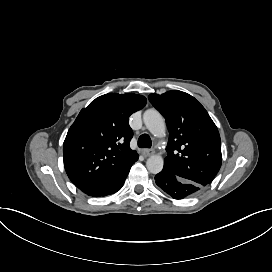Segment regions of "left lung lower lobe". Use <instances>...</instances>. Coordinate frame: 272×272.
Segmentation results:
<instances>
[{"label":"left lung lower lobe","instance_id":"0a47b994","mask_svg":"<svg viewBox=\"0 0 272 272\" xmlns=\"http://www.w3.org/2000/svg\"><path fill=\"white\" fill-rule=\"evenodd\" d=\"M155 181L165 193L177 200L187 198L197 193L203 187L194 182L179 178L165 168L155 176Z\"/></svg>","mask_w":272,"mask_h":272}]
</instances>
